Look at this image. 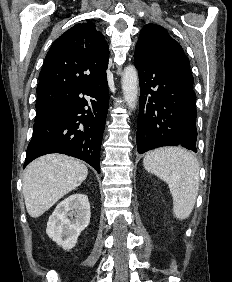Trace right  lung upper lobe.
I'll return each instance as SVG.
<instances>
[{"mask_svg":"<svg viewBox=\"0 0 232 282\" xmlns=\"http://www.w3.org/2000/svg\"><path fill=\"white\" fill-rule=\"evenodd\" d=\"M109 47L92 22L77 24L50 47L39 74L37 93L72 91L106 76Z\"/></svg>","mask_w":232,"mask_h":282,"instance_id":"obj_1","label":"right lung upper lobe"}]
</instances>
